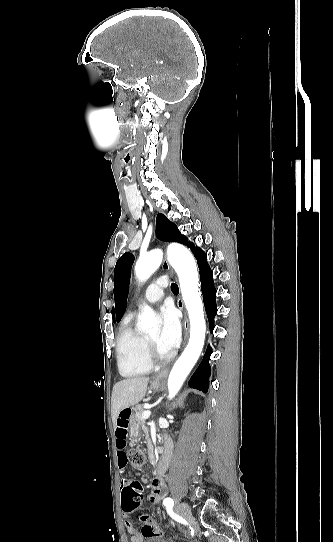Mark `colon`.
<instances>
[{"label": "colon", "mask_w": 333, "mask_h": 542, "mask_svg": "<svg viewBox=\"0 0 333 542\" xmlns=\"http://www.w3.org/2000/svg\"><path fill=\"white\" fill-rule=\"evenodd\" d=\"M130 465L136 469H141L146 461V454L141 450H134L130 452ZM143 489L141 483H130L129 487H123L122 501L125 505L124 512L127 516H137L139 514V519L142 520L144 524L142 525L141 531L148 538H159L160 533L157 527L153 524L154 519L152 516L148 515L146 510H141L139 512V501L143 496Z\"/></svg>", "instance_id": "obj_1"}]
</instances>
